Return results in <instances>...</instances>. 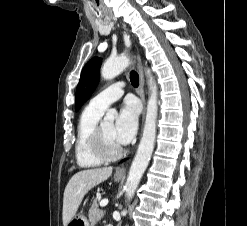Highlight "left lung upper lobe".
I'll list each match as a JSON object with an SVG mask.
<instances>
[{"label": "left lung upper lobe", "mask_w": 247, "mask_h": 226, "mask_svg": "<svg viewBox=\"0 0 247 226\" xmlns=\"http://www.w3.org/2000/svg\"><path fill=\"white\" fill-rule=\"evenodd\" d=\"M102 60L92 58L83 68L80 81L76 89L75 110L78 111L84 102L91 96L99 82V72Z\"/></svg>", "instance_id": "left-lung-upper-lobe-1"}]
</instances>
